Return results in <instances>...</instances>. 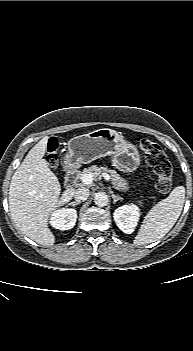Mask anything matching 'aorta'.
<instances>
[{
	"label": "aorta",
	"instance_id": "obj_1",
	"mask_svg": "<svg viewBox=\"0 0 193 351\" xmlns=\"http://www.w3.org/2000/svg\"><path fill=\"white\" fill-rule=\"evenodd\" d=\"M94 203L99 207H104L108 203V196L104 192H98L94 196Z\"/></svg>",
	"mask_w": 193,
	"mask_h": 351
}]
</instances>
